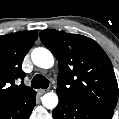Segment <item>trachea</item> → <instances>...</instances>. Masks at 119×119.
<instances>
[{"mask_svg": "<svg viewBox=\"0 0 119 119\" xmlns=\"http://www.w3.org/2000/svg\"><path fill=\"white\" fill-rule=\"evenodd\" d=\"M31 86L33 88L46 89L49 86V81L44 76L37 74L33 77L31 81Z\"/></svg>", "mask_w": 119, "mask_h": 119, "instance_id": "3493384b", "label": "trachea"}]
</instances>
